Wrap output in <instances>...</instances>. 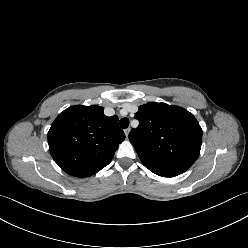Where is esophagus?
<instances>
[{
  "label": "esophagus",
  "instance_id": "obj_1",
  "mask_svg": "<svg viewBox=\"0 0 248 248\" xmlns=\"http://www.w3.org/2000/svg\"><path fill=\"white\" fill-rule=\"evenodd\" d=\"M129 132H130V128H127V129L124 130V133H125L126 137H128Z\"/></svg>",
  "mask_w": 248,
  "mask_h": 248
}]
</instances>
